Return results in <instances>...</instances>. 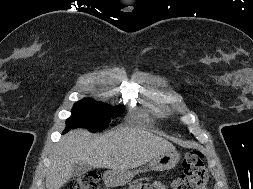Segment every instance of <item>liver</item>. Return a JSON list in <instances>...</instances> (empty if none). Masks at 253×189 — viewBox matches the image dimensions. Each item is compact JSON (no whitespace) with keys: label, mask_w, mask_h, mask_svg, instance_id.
<instances>
[{"label":"liver","mask_w":253,"mask_h":189,"mask_svg":"<svg viewBox=\"0 0 253 189\" xmlns=\"http://www.w3.org/2000/svg\"><path fill=\"white\" fill-rule=\"evenodd\" d=\"M173 150L171 142L138 127H121L102 136H93L83 129L72 130L53 148L46 189H60L66 184L77 163L125 171Z\"/></svg>","instance_id":"obj_1"}]
</instances>
